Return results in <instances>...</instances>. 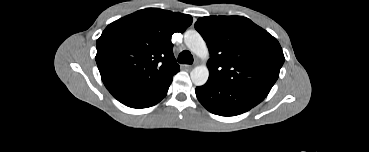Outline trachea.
Segmentation results:
<instances>
[{
    "mask_svg": "<svg viewBox=\"0 0 369 152\" xmlns=\"http://www.w3.org/2000/svg\"><path fill=\"white\" fill-rule=\"evenodd\" d=\"M178 62L182 64H192L193 56L189 51L185 50L179 54Z\"/></svg>",
    "mask_w": 369,
    "mask_h": 152,
    "instance_id": "1",
    "label": "trachea"
}]
</instances>
